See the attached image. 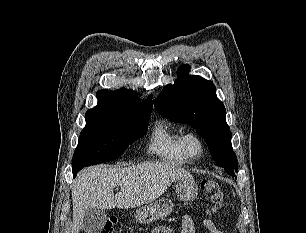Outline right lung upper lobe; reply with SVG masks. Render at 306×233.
I'll use <instances>...</instances> for the list:
<instances>
[{
  "mask_svg": "<svg viewBox=\"0 0 306 233\" xmlns=\"http://www.w3.org/2000/svg\"><path fill=\"white\" fill-rule=\"evenodd\" d=\"M97 98V106L87 112L104 111L126 115H145L151 114L153 109L151 96L140 102L137 93L126 88L116 91L99 90Z\"/></svg>",
  "mask_w": 306,
  "mask_h": 233,
  "instance_id": "right-lung-upper-lobe-1",
  "label": "right lung upper lobe"
}]
</instances>
